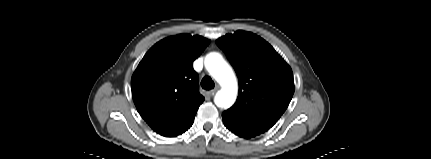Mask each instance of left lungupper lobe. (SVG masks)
I'll return each instance as SVG.
<instances>
[{
    "label": "left lung upper lobe",
    "instance_id": "obj_1",
    "mask_svg": "<svg viewBox=\"0 0 431 159\" xmlns=\"http://www.w3.org/2000/svg\"><path fill=\"white\" fill-rule=\"evenodd\" d=\"M216 43L239 78L237 101L224 114L244 124L271 128L294 94L290 66L268 42L250 32L236 31Z\"/></svg>",
    "mask_w": 431,
    "mask_h": 159
}]
</instances>
